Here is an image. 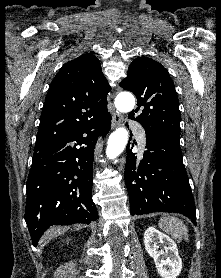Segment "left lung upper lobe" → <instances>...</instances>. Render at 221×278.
I'll return each instance as SVG.
<instances>
[{"label":"left lung upper lobe","instance_id":"5c2ea615","mask_svg":"<svg viewBox=\"0 0 221 278\" xmlns=\"http://www.w3.org/2000/svg\"><path fill=\"white\" fill-rule=\"evenodd\" d=\"M120 86L136 95L138 107L128 117L138 121L147 134L180 136L178 97L173 81L160 63L147 57L135 59Z\"/></svg>","mask_w":221,"mask_h":278}]
</instances>
